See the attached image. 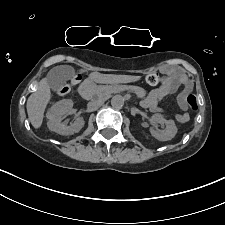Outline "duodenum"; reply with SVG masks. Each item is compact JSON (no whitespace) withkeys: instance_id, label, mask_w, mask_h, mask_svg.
<instances>
[{"instance_id":"410a0bca","label":"duodenum","mask_w":225,"mask_h":225,"mask_svg":"<svg viewBox=\"0 0 225 225\" xmlns=\"http://www.w3.org/2000/svg\"><path fill=\"white\" fill-rule=\"evenodd\" d=\"M86 87H87V89H91L92 83H91V82H88V83L86 84ZM85 94L87 95L88 93L85 92Z\"/></svg>"}]
</instances>
